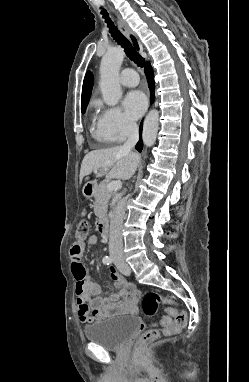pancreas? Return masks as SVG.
<instances>
[{
    "instance_id": "obj_1",
    "label": "pancreas",
    "mask_w": 249,
    "mask_h": 382,
    "mask_svg": "<svg viewBox=\"0 0 249 382\" xmlns=\"http://www.w3.org/2000/svg\"><path fill=\"white\" fill-rule=\"evenodd\" d=\"M113 192L107 188L105 182L100 183L96 187L94 194V213L98 218H102L107 213L108 202L112 197Z\"/></svg>"
}]
</instances>
